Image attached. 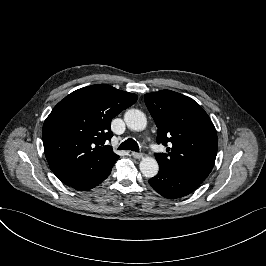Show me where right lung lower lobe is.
I'll use <instances>...</instances> for the list:
<instances>
[{
  "label": "right lung lower lobe",
  "mask_w": 266,
  "mask_h": 266,
  "mask_svg": "<svg viewBox=\"0 0 266 266\" xmlns=\"http://www.w3.org/2000/svg\"><path fill=\"white\" fill-rule=\"evenodd\" d=\"M112 167L102 171L101 173L95 174L93 176L84 178L83 180H81L78 183H75L73 185H70L72 188L76 189V190H88L91 189L93 187H95L96 185H98L100 182H102L104 179H106L110 172H111Z\"/></svg>",
  "instance_id": "1"
}]
</instances>
